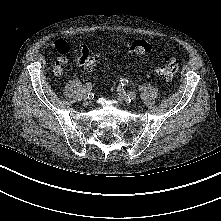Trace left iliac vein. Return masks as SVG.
<instances>
[{
  "mask_svg": "<svg viewBox=\"0 0 221 221\" xmlns=\"http://www.w3.org/2000/svg\"><path fill=\"white\" fill-rule=\"evenodd\" d=\"M127 96H128V98H129L130 100H135L136 97H137V94H136V92H134V91H130V92L127 93Z\"/></svg>",
  "mask_w": 221,
  "mask_h": 221,
  "instance_id": "obj_1",
  "label": "left iliac vein"
}]
</instances>
